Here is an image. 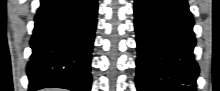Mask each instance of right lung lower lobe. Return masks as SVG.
Returning <instances> with one entry per match:
<instances>
[{
    "mask_svg": "<svg viewBox=\"0 0 220 91\" xmlns=\"http://www.w3.org/2000/svg\"><path fill=\"white\" fill-rule=\"evenodd\" d=\"M97 11V0H41L26 67L30 91H90Z\"/></svg>",
    "mask_w": 220,
    "mask_h": 91,
    "instance_id": "1",
    "label": "right lung lower lobe"
}]
</instances>
